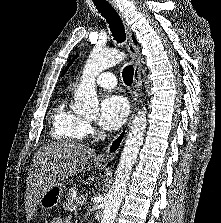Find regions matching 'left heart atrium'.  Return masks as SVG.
Wrapping results in <instances>:
<instances>
[{
  "label": "left heart atrium",
  "instance_id": "39dd6f15",
  "mask_svg": "<svg viewBox=\"0 0 221 223\" xmlns=\"http://www.w3.org/2000/svg\"><path fill=\"white\" fill-rule=\"evenodd\" d=\"M128 112V104L122 96H107L101 102L99 126L108 131L117 130L125 122Z\"/></svg>",
  "mask_w": 221,
  "mask_h": 223
}]
</instances>
